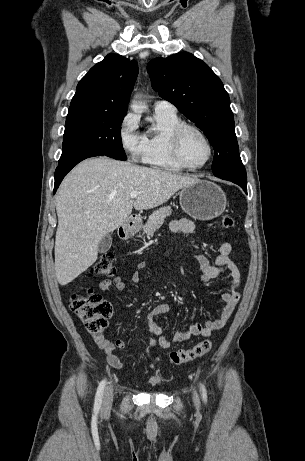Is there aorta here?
Instances as JSON below:
<instances>
[{
    "label": "aorta",
    "mask_w": 305,
    "mask_h": 461,
    "mask_svg": "<svg viewBox=\"0 0 305 461\" xmlns=\"http://www.w3.org/2000/svg\"><path fill=\"white\" fill-rule=\"evenodd\" d=\"M132 109L136 112H141V108L136 104L132 105Z\"/></svg>",
    "instance_id": "aorta-1"
}]
</instances>
